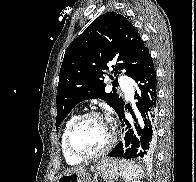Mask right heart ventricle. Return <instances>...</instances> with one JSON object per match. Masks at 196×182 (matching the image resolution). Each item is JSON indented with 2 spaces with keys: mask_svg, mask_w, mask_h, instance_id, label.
Listing matches in <instances>:
<instances>
[{
  "mask_svg": "<svg viewBox=\"0 0 196 182\" xmlns=\"http://www.w3.org/2000/svg\"><path fill=\"white\" fill-rule=\"evenodd\" d=\"M76 118V116H72L70 117L64 127H63V132H62V136H61V150H62V153H63V156L66 160V162L70 165H78L82 162L81 159L79 158H76L74 157L68 150H67V147H66V143H65V138H66V133H67V130L70 126V124L72 123V121Z\"/></svg>",
  "mask_w": 196,
  "mask_h": 182,
  "instance_id": "e07e8e85",
  "label": "right heart ventricle"
}]
</instances>
